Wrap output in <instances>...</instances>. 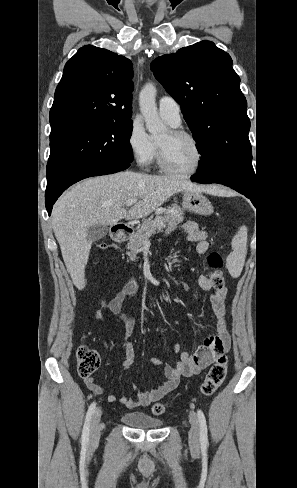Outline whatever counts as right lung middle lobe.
<instances>
[{
  "instance_id": "obj_1",
  "label": "right lung middle lobe",
  "mask_w": 297,
  "mask_h": 488,
  "mask_svg": "<svg viewBox=\"0 0 297 488\" xmlns=\"http://www.w3.org/2000/svg\"><path fill=\"white\" fill-rule=\"evenodd\" d=\"M132 121L85 124L50 135L47 188L94 165L131 163Z\"/></svg>"
}]
</instances>
